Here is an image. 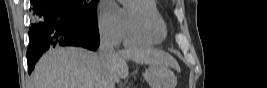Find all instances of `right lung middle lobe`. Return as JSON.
I'll list each match as a JSON object with an SVG mask.
<instances>
[{"label":"right lung middle lobe","instance_id":"dd1d6c3e","mask_svg":"<svg viewBox=\"0 0 267 88\" xmlns=\"http://www.w3.org/2000/svg\"><path fill=\"white\" fill-rule=\"evenodd\" d=\"M78 15L97 21V3L99 0H59Z\"/></svg>","mask_w":267,"mask_h":88}]
</instances>
